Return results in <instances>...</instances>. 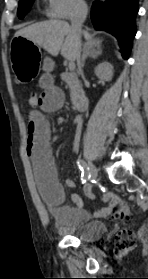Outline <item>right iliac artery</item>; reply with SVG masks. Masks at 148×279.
Returning a JSON list of instances; mask_svg holds the SVG:
<instances>
[{
    "mask_svg": "<svg viewBox=\"0 0 148 279\" xmlns=\"http://www.w3.org/2000/svg\"><path fill=\"white\" fill-rule=\"evenodd\" d=\"M77 164L81 170V181L82 184L86 183V181L90 178V174H89V167H87V165L82 161V160H78ZM91 192V187H88L86 193L88 195H90Z\"/></svg>",
    "mask_w": 148,
    "mask_h": 279,
    "instance_id": "right-iliac-artery-1",
    "label": "right iliac artery"
}]
</instances>
